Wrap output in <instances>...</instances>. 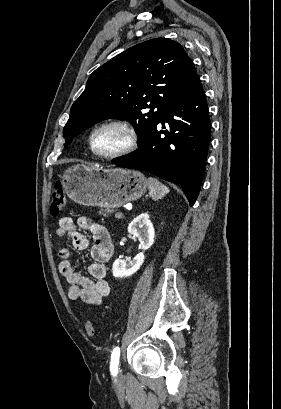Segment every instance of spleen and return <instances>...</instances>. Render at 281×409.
Listing matches in <instances>:
<instances>
[{
    "label": "spleen",
    "instance_id": "obj_1",
    "mask_svg": "<svg viewBox=\"0 0 281 409\" xmlns=\"http://www.w3.org/2000/svg\"><path fill=\"white\" fill-rule=\"evenodd\" d=\"M148 186L149 194L152 196L153 200H159V198H163V196L169 192L168 186L159 182L157 178H152V176H149L148 178Z\"/></svg>",
    "mask_w": 281,
    "mask_h": 409
}]
</instances>
